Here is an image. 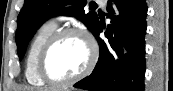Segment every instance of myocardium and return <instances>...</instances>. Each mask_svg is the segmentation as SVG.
I'll list each match as a JSON object with an SVG mask.
<instances>
[{
	"label": "myocardium",
	"instance_id": "myocardium-1",
	"mask_svg": "<svg viewBox=\"0 0 173 91\" xmlns=\"http://www.w3.org/2000/svg\"><path fill=\"white\" fill-rule=\"evenodd\" d=\"M78 35L81 36L87 43L89 48L88 62L84 69L76 75L63 79L54 80L50 78L45 71V60L51 49V47L61 38L66 35ZM99 56V50L95 40L83 29L77 27H64L53 32L42 45L36 60V71L39 78L46 84L53 87H64L73 84L92 72Z\"/></svg>",
	"mask_w": 173,
	"mask_h": 91
}]
</instances>
